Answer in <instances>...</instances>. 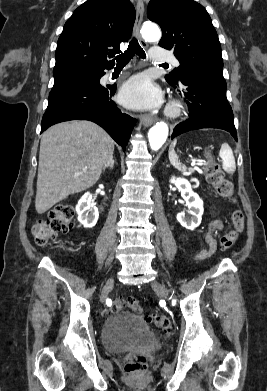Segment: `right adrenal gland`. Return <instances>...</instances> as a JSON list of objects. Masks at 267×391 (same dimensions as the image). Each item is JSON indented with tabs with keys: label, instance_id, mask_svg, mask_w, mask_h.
Wrapping results in <instances>:
<instances>
[{
	"label": "right adrenal gland",
	"instance_id": "1",
	"mask_svg": "<svg viewBox=\"0 0 267 391\" xmlns=\"http://www.w3.org/2000/svg\"><path fill=\"white\" fill-rule=\"evenodd\" d=\"M114 163H115V161H114L113 157H111V159L105 164V166H104V168H103V171H105L106 168H108V167H110L111 169H113Z\"/></svg>",
	"mask_w": 267,
	"mask_h": 391
}]
</instances>
